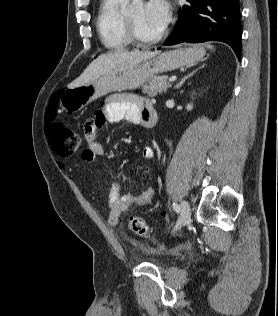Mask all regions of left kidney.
I'll use <instances>...</instances> for the list:
<instances>
[{
  "label": "left kidney",
  "instance_id": "obj_1",
  "mask_svg": "<svg viewBox=\"0 0 278 316\" xmlns=\"http://www.w3.org/2000/svg\"><path fill=\"white\" fill-rule=\"evenodd\" d=\"M186 108H187V110H192L193 105H192V104H188V105L186 106Z\"/></svg>",
  "mask_w": 278,
  "mask_h": 316
}]
</instances>
